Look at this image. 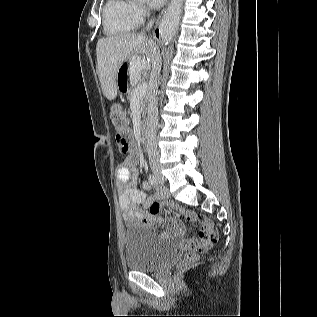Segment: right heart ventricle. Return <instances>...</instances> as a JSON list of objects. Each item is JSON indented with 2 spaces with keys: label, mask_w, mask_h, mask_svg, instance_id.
I'll list each match as a JSON object with an SVG mask.
<instances>
[{
  "label": "right heart ventricle",
  "mask_w": 317,
  "mask_h": 317,
  "mask_svg": "<svg viewBox=\"0 0 317 317\" xmlns=\"http://www.w3.org/2000/svg\"><path fill=\"white\" fill-rule=\"evenodd\" d=\"M138 22L134 5L129 0H107L103 7V27L109 36H118L134 30Z\"/></svg>",
  "instance_id": "e07e8e85"
}]
</instances>
